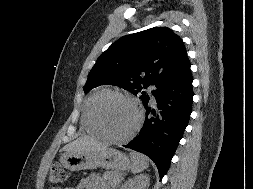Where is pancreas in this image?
Masks as SVG:
<instances>
[{
    "instance_id": "cf45deb5",
    "label": "pancreas",
    "mask_w": 253,
    "mask_h": 189,
    "mask_svg": "<svg viewBox=\"0 0 253 189\" xmlns=\"http://www.w3.org/2000/svg\"><path fill=\"white\" fill-rule=\"evenodd\" d=\"M122 179V173L119 171H106L103 174V180L108 185L115 187L117 186Z\"/></svg>"
}]
</instances>
